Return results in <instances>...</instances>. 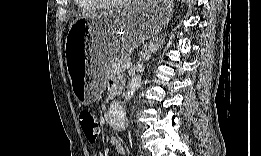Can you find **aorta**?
Instances as JSON below:
<instances>
[{
	"instance_id": "1",
	"label": "aorta",
	"mask_w": 261,
	"mask_h": 156,
	"mask_svg": "<svg viewBox=\"0 0 261 156\" xmlns=\"http://www.w3.org/2000/svg\"><path fill=\"white\" fill-rule=\"evenodd\" d=\"M140 87L141 76L136 74L130 79L124 98L110 104L108 109V123L112 129L116 131H122L125 129L127 122L125 104L133 97Z\"/></svg>"
}]
</instances>
